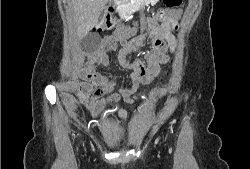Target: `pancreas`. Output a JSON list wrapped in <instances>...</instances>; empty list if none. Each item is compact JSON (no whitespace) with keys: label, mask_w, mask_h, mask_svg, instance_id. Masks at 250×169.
<instances>
[{"label":"pancreas","mask_w":250,"mask_h":169,"mask_svg":"<svg viewBox=\"0 0 250 169\" xmlns=\"http://www.w3.org/2000/svg\"><path fill=\"white\" fill-rule=\"evenodd\" d=\"M124 2H126V4H128L129 8V12H135V10H137V2H135V4H131L130 0H124Z\"/></svg>","instance_id":"1"}]
</instances>
